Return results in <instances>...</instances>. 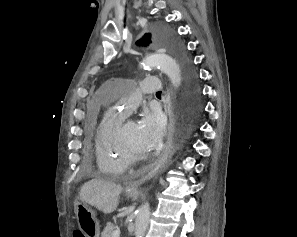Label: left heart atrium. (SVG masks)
Masks as SVG:
<instances>
[{
	"mask_svg": "<svg viewBox=\"0 0 297 237\" xmlns=\"http://www.w3.org/2000/svg\"><path fill=\"white\" fill-rule=\"evenodd\" d=\"M138 136L141 144L151 151L157 148L164 135V122L158 111H143L137 122Z\"/></svg>",
	"mask_w": 297,
	"mask_h": 237,
	"instance_id": "39dd6f15",
	"label": "left heart atrium"
}]
</instances>
